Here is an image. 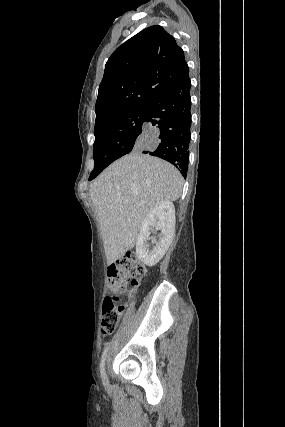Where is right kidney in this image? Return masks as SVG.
Segmentation results:
<instances>
[{
	"label": "right kidney",
	"mask_w": 285,
	"mask_h": 427,
	"mask_svg": "<svg viewBox=\"0 0 285 427\" xmlns=\"http://www.w3.org/2000/svg\"><path fill=\"white\" fill-rule=\"evenodd\" d=\"M160 231L158 240L152 239L154 244L149 250L151 231ZM175 230V208L171 201H161L156 204L143 220L136 240V254L147 266H154L165 255L169 248Z\"/></svg>",
	"instance_id": "ca27d5eb"
}]
</instances>
